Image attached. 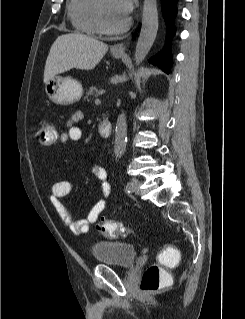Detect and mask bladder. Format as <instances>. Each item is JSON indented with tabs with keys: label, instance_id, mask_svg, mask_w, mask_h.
<instances>
[{
	"label": "bladder",
	"instance_id": "bladder-1",
	"mask_svg": "<svg viewBox=\"0 0 245 319\" xmlns=\"http://www.w3.org/2000/svg\"><path fill=\"white\" fill-rule=\"evenodd\" d=\"M92 257L99 264L130 267L136 258V246L127 242L100 240L91 247Z\"/></svg>",
	"mask_w": 245,
	"mask_h": 319
}]
</instances>
